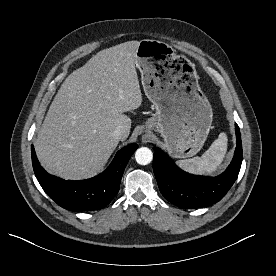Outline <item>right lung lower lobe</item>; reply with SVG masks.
I'll return each instance as SVG.
<instances>
[{
    "mask_svg": "<svg viewBox=\"0 0 276 276\" xmlns=\"http://www.w3.org/2000/svg\"><path fill=\"white\" fill-rule=\"evenodd\" d=\"M137 147L130 144L121 149L103 173L82 181H66L48 174L39 164L33 145L32 164L43 190L59 206L71 211L99 210L118 193L124 169Z\"/></svg>",
    "mask_w": 276,
    "mask_h": 276,
    "instance_id": "98d812e1",
    "label": "right lung lower lobe"
}]
</instances>
